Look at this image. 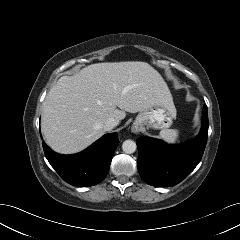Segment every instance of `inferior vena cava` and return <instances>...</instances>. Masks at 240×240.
Returning a JSON list of instances; mask_svg holds the SVG:
<instances>
[{
    "label": "inferior vena cava",
    "instance_id": "1",
    "mask_svg": "<svg viewBox=\"0 0 240 240\" xmlns=\"http://www.w3.org/2000/svg\"><path fill=\"white\" fill-rule=\"evenodd\" d=\"M118 125V121L114 118H109L103 124V129L105 131H110Z\"/></svg>",
    "mask_w": 240,
    "mask_h": 240
}]
</instances>
